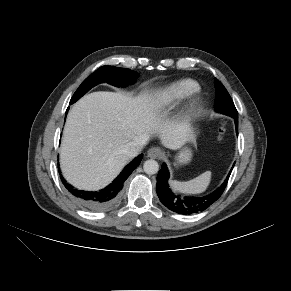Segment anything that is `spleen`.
Wrapping results in <instances>:
<instances>
[{"label":"spleen","mask_w":291,"mask_h":291,"mask_svg":"<svg viewBox=\"0 0 291 291\" xmlns=\"http://www.w3.org/2000/svg\"><path fill=\"white\" fill-rule=\"evenodd\" d=\"M210 180L211 172L206 171L190 181L180 182L176 180H171L169 184L171 188L175 191L186 194H200L207 189L208 185L210 184Z\"/></svg>","instance_id":"spleen-1"}]
</instances>
